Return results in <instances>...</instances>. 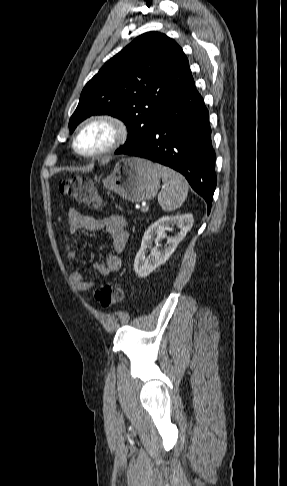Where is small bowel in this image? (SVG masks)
<instances>
[{
	"mask_svg": "<svg viewBox=\"0 0 287 486\" xmlns=\"http://www.w3.org/2000/svg\"><path fill=\"white\" fill-rule=\"evenodd\" d=\"M68 236L64 241L66 259L71 267L69 280L78 291L85 292L97 285L94 279L85 280L83 275L75 269L74 262L77 251L73 245V236L79 231H104L111 242L112 252L107 255L105 263H95L94 269L101 275L107 276L117 272L122 266L120 254L125 250L128 241L126 221L123 217L112 215L104 218H95L70 208L67 212Z\"/></svg>",
	"mask_w": 287,
	"mask_h": 486,
	"instance_id": "small-bowel-1",
	"label": "small bowel"
}]
</instances>
